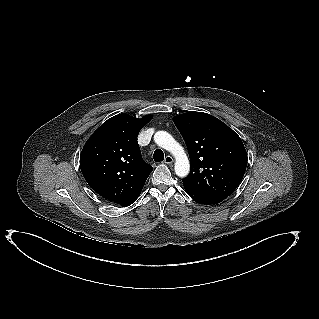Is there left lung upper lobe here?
I'll return each mask as SVG.
<instances>
[{
    "instance_id": "left-lung-upper-lobe-1",
    "label": "left lung upper lobe",
    "mask_w": 319,
    "mask_h": 319,
    "mask_svg": "<svg viewBox=\"0 0 319 319\" xmlns=\"http://www.w3.org/2000/svg\"><path fill=\"white\" fill-rule=\"evenodd\" d=\"M190 156L191 170L184 186L218 200L239 186L247 166L241 138L225 123L203 112L173 118Z\"/></svg>"
}]
</instances>
